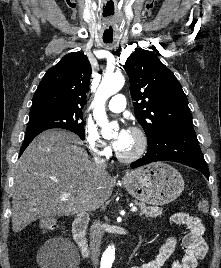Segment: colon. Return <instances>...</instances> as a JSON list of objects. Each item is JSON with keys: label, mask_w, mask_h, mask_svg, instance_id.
Segmentation results:
<instances>
[{"label": "colon", "mask_w": 221, "mask_h": 268, "mask_svg": "<svg viewBox=\"0 0 221 268\" xmlns=\"http://www.w3.org/2000/svg\"><path fill=\"white\" fill-rule=\"evenodd\" d=\"M197 207L200 212L208 213L209 211V203L206 199L200 198L197 202ZM57 225L56 219L54 217H46L40 221V227L43 230H51L54 229Z\"/></svg>", "instance_id": "1"}]
</instances>
